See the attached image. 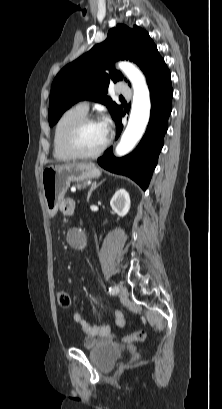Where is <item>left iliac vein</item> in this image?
Listing matches in <instances>:
<instances>
[{
    "mask_svg": "<svg viewBox=\"0 0 222 409\" xmlns=\"http://www.w3.org/2000/svg\"><path fill=\"white\" fill-rule=\"evenodd\" d=\"M120 298L121 300H126L128 298V290L123 285H120Z\"/></svg>",
    "mask_w": 222,
    "mask_h": 409,
    "instance_id": "1",
    "label": "left iliac vein"
}]
</instances>
